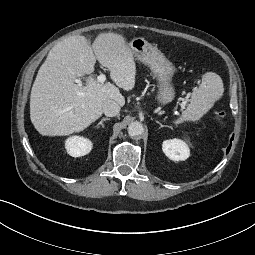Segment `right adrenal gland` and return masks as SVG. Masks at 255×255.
<instances>
[{"label":"right adrenal gland","mask_w":255,"mask_h":255,"mask_svg":"<svg viewBox=\"0 0 255 255\" xmlns=\"http://www.w3.org/2000/svg\"><path fill=\"white\" fill-rule=\"evenodd\" d=\"M106 120H110V118H108V117L102 118L101 121L97 124L96 127L101 126L102 128H104L103 122L106 121Z\"/></svg>","instance_id":"2a0ac1e0"}]
</instances>
